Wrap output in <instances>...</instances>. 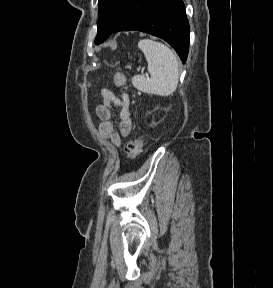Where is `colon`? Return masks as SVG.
I'll use <instances>...</instances> for the list:
<instances>
[{"instance_id": "obj_1", "label": "colon", "mask_w": 273, "mask_h": 288, "mask_svg": "<svg viewBox=\"0 0 273 288\" xmlns=\"http://www.w3.org/2000/svg\"><path fill=\"white\" fill-rule=\"evenodd\" d=\"M114 83L117 87H123L125 85V75L122 72H116ZM142 146L143 140L140 137L127 141L124 147L125 157L129 160L134 159L140 153Z\"/></svg>"}]
</instances>
